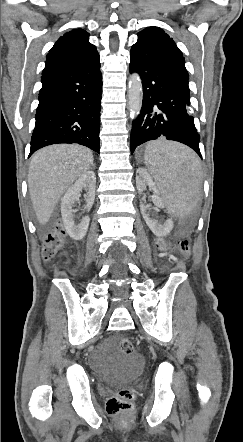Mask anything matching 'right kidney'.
<instances>
[{
	"label": "right kidney",
	"instance_id": "1",
	"mask_svg": "<svg viewBox=\"0 0 243 442\" xmlns=\"http://www.w3.org/2000/svg\"><path fill=\"white\" fill-rule=\"evenodd\" d=\"M96 176L93 171L84 173L75 184L70 187L64 197L61 199V215L65 229L69 236L74 240H82L88 230L90 218L84 216L79 223L74 221L73 205L79 200L80 192L86 191L85 209L89 211L95 199Z\"/></svg>",
	"mask_w": 243,
	"mask_h": 442
}]
</instances>
